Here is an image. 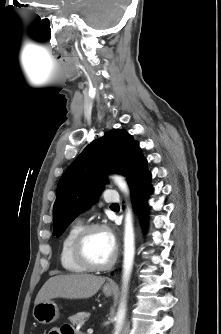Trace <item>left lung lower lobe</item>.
Returning a JSON list of instances; mask_svg holds the SVG:
<instances>
[{
    "label": "left lung lower lobe",
    "instance_id": "1",
    "mask_svg": "<svg viewBox=\"0 0 221 334\" xmlns=\"http://www.w3.org/2000/svg\"><path fill=\"white\" fill-rule=\"evenodd\" d=\"M151 173L146 169V166L142 168L135 178L129 183L133 205L138 207L140 212V220L143 225L147 219L146 201L147 196L152 192V188L149 186V180Z\"/></svg>",
    "mask_w": 221,
    "mask_h": 334
}]
</instances>
